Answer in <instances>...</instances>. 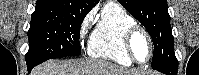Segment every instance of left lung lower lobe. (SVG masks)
I'll return each instance as SVG.
<instances>
[{
	"instance_id": "obj_1",
	"label": "left lung lower lobe",
	"mask_w": 199,
	"mask_h": 75,
	"mask_svg": "<svg viewBox=\"0 0 199 75\" xmlns=\"http://www.w3.org/2000/svg\"><path fill=\"white\" fill-rule=\"evenodd\" d=\"M178 62L169 64L167 67L159 68L158 71L166 75H177Z\"/></svg>"
}]
</instances>
